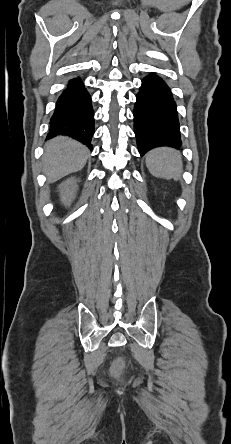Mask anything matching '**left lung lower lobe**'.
Returning a JSON list of instances; mask_svg holds the SVG:
<instances>
[{"label":"left lung lower lobe","mask_w":231,"mask_h":444,"mask_svg":"<svg viewBox=\"0 0 231 444\" xmlns=\"http://www.w3.org/2000/svg\"><path fill=\"white\" fill-rule=\"evenodd\" d=\"M134 108V132L140 155L158 146L179 148L176 103L170 88L154 73L142 80Z\"/></svg>","instance_id":"1"}]
</instances>
